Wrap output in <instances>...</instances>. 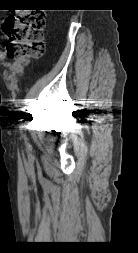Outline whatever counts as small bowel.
<instances>
[{
	"mask_svg": "<svg viewBox=\"0 0 138 253\" xmlns=\"http://www.w3.org/2000/svg\"><path fill=\"white\" fill-rule=\"evenodd\" d=\"M0 60H7V55L5 51L0 49ZM13 75L20 76L22 74V67L18 62L12 63Z\"/></svg>",
	"mask_w": 138,
	"mask_h": 253,
	"instance_id": "obj_1",
	"label": "small bowel"
}]
</instances>
